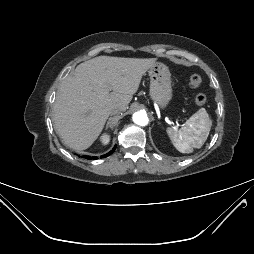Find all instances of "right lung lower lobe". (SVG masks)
I'll return each mask as SVG.
<instances>
[{
	"label": "right lung lower lobe",
	"instance_id": "98d812e1",
	"mask_svg": "<svg viewBox=\"0 0 254 254\" xmlns=\"http://www.w3.org/2000/svg\"><path fill=\"white\" fill-rule=\"evenodd\" d=\"M115 149H116V146H114V148H113L110 152H108V153L105 154V155H102L100 158H105V157L111 155V154L115 151ZM82 157H83V158H86V159H91L90 156H82ZM92 159H97V157H92Z\"/></svg>",
	"mask_w": 254,
	"mask_h": 254
}]
</instances>
